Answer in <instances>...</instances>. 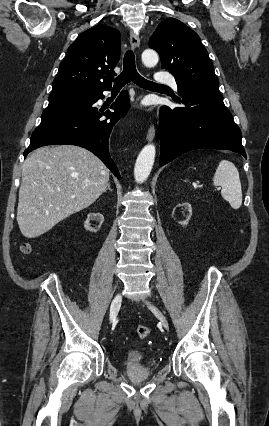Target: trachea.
<instances>
[{
	"label": "trachea",
	"mask_w": 269,
	"mask_h": 426,
	"mask_svg": "<svg viewBox=\"0 0 269 426\" xmlns=\"http://www.w3.org/2000/svg\"><path fill=\"white\" fill-rule=\"evenodd\" d=\"M130 81L142 88L164 87L162 84H157L145 79L137 72L134 53L128 50L124 55L123 71L115 79L113 88H122Z\"/></svg>",
	"instance_id": "1"
}]
</instances>
